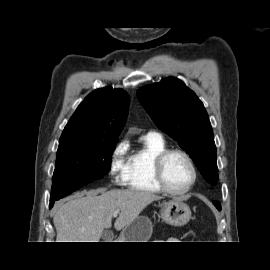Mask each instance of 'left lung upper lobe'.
Instances as JSON below:
<instances>
[{
    "label": "left lung upper lobe",
    "instance_id": "5c2ea615",
    "mask_svg": "<svg viewBox=\"0 0 270 270\" xmlns=\"http://www.w3.org/2000/svg\"><path fill=\"white\" fill-rule=\"evenodd\" d=\"M137 96L158 128L185 150L211 184L218 180L216 146L208 114L196 94L168 77L138 90Z\"/></svg>",
    "mask_w": 270,
    "mask_h": 270
}]
</instances>
